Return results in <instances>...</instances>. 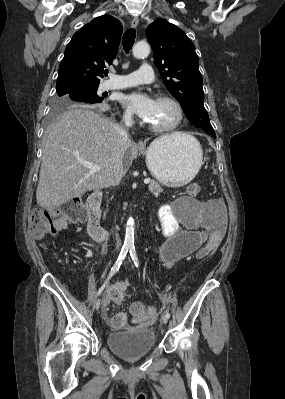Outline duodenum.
<instances>
[{
	"label": "duodenum",
	"mask_w": 285,
	"mask_h": 399,
	"mask_svg": "<svg viewBox=\"0 0 285 399\" xmlns=\"http://www.w3.org/2000/svg\"><path fill=\"white\" fill-rule=\"evenodd\" d=\"M102 195L94 192L87 200V228L90 236L96 241L102 242L109 238L111 232L102 225L100 205Z\"/></svg>",
	"instance_id": "410a0bca"
}]
</instances>
